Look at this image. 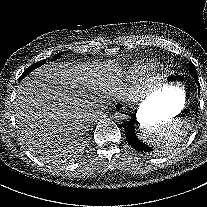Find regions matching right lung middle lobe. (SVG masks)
Instances as JSON below:
<instances>
[{
    "instance_id": "obj_1",
    "label": "right lung middle lobe",
    "mask_w": 207,
    "mask_h": 207,
    "mask_svg": "<svg viewBox=\"0 0 207 207\" xmlns=\"http://www.w3.org/2000/svg\"><path fill=\"white\" fill-rule=\"evenodd\" d=\"M63 54L62 53H59V54H56L50 61H54L58 58H60V56ZM46 59L42 60V61H39L33 65H31L30 67H28L24 72L23 74L21 75V77L19 78V81H21L25 76H27L30 72H32L33 70H35L36 68L40 67L41 65H43L44 63H46ZM49 62V61H48Z\"/></svg>"
}]
</instances>
